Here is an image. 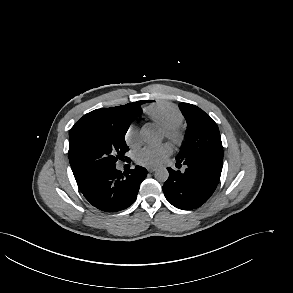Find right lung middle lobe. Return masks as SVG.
<instances>
[{
    "mask_svg": "<svg viewBox=\"0 0 293 293\" xmlns=\"http://www.w3.org/2000/svg\"><path fill=\"white\" fill-rule=\"evenodd\" d=\"M138 109V106L132 107L112 118L89 120L77 126L70 144L72 158L93 171L114 166L129 150L124 136Z\"/></svg>",
    "mask_w": 293,
    "mask_h": 293,
    "instance_id": "obj_1",
    "label": "right lung middle lobe"
}]
</instances>
